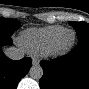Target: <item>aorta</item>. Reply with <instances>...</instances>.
<instances>
[{
	"mask_svg": "<svg viewBox=\"0 0 89 89\" xmlns=\"http://www.w3.org/2000/svg\"><path fill=\"white\" fill-rule=\"evenodd\" d=\"M29 75L35 80H39L43 75V69L40 65H34L29 70Z\"/></svg>",
	"mask_w": 89,
	"mask_h": 89,
	"instance_id": "aorta-1",
	"label": "aorta"
}]
</instances>
